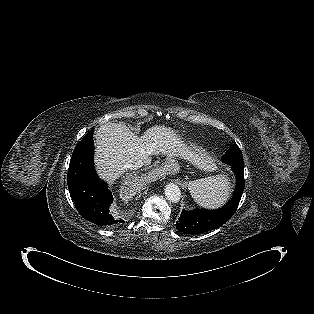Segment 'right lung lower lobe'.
I'll return each instance as SVG.
<instances>
[{"instance_id": "obj_1", "label": "right lung lower lobe", "mask_w": 314, "mask_h": 314, "mask_svg": "<svg viewBox=\"0 0 314 314\" xmlns=\"http://www.w3.org/2000/svg\"><path fill=\"white\" fill-rule=\"evenodd\" d=\"M93 150V132H89L72 154L67 178L69 192L84 219L99 226H115L124 221L110 213L113 196L95 173Z\"/></svg>"}]
</instances>
